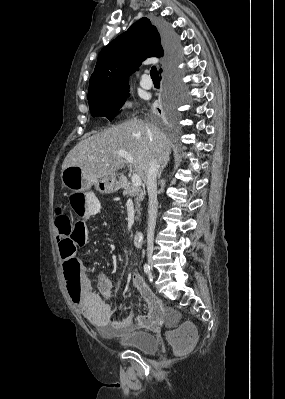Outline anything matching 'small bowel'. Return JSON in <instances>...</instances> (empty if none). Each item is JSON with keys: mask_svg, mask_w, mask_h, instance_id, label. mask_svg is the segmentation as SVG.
Listing matches in <instances>:
<instances>
[{"mask_svg": "<svg viewBox=\"0 0 285 399\" xmlns=\"http://www.w3.org/2000/svg\"><path fill=\"white\" fill-rule=\"evenodd\" d=\"M87 201L81 212L84 218H90L100 213V201L92 193H87ZM86 227V223L82 222ZM60 234V230L57 229ZM61 237V235H60ZM71 271L76 274L79 293L75 298L68 292V279H66L67 292L70 299L78 307L82 315L93 325L109 328L114 334L125 335L137 329H152L163 324L169 316L163 304L150 290L145 278L137 271L132 276L134 286L147 305V314L139 315L134 319L131 315L116 318L113 316L109 305L112 296V285L104 277L99 276L98 290L95 291L90 283L87 270L81 260L76 259L71 264Z\"/></svg>", "mask_w": 285, "mask_h": 399, "instance_id": "obj_1", "label": "small bowel"}]
</instances>
